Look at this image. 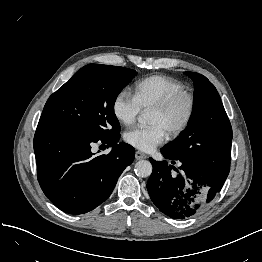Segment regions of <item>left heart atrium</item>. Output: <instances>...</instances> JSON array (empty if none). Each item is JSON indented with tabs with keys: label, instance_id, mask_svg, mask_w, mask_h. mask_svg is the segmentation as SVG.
Segmentation results:
<instances>
[{
	"label": "left heart atrium",
	"instance_id": "left-heart-atrium-1",
	"mask_svg": "<svg viewBox=\"0 0 262 262\" xmlns=\"http://www.w3.org/2000/svg\"><path fill=\"white\" fill-rule=\"evenodd\" d=\"M167 136L168 132L161 124H152L128 129L124 133V140L137 149L151 151L163 143Z\"/></svg>",
	"mask_w": 262,
	"mask_h": 262
}]
</instances>
